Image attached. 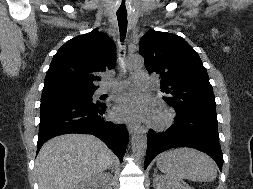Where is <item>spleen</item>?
<instances>
[{
	"label": "spleen",
	"instance_id": "3e777b00",
	"mask_svg": "<svg viewBox=\"0 0 253 189\" xmlns=\"http://www.w3.org/2000/svg\"><path fill=\"white\" fill-rule=\"evenodd\" d=\"M157 167L173 180L213 181L217 176L214 161L192 148H176L160 154Z\"/></svg>",
	"mask_w": 253,
	"mask_h": 189
}]
</instances>
